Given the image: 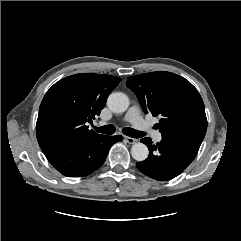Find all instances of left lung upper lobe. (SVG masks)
Segmentation results:
<instances>
[{"mask_svg":"<svg viewBox=\"0 0 241 241\" xmlns=\"http://www.w3.org/2000/svg\"><path fill=\"white\" fill-rule=\"evenodd\" d=\"M145 113L161 116L156 124L162 136L204 138L207 118L197 89L185 78L156 71L128 77L126 83Z\"/></svg>","mask_w":241,"mask_h":241,"instance_id":"obj_1","label":"left lung upper lobe"}]
</instances>
